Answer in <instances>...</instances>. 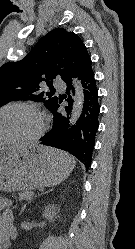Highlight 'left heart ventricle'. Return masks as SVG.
Listing matches in <instances>:
<instances>
[{
    "label": "left heart ventricle",
    "mask_w": 135,
    "mask_h": 249,
    "mask_svg": "<svg viewBox=\"0 0 135 249\" xmlns=\"http://www.w3.org/2000/svg\"><path fill=\"white\" fill-rule=\"evenodd\" d=\"M39 129V119L32 111L13 107L0 112V140L28 138Z\"/></svg>",
    "instance_id": "left-heart-ventricle-1"
}]
</instances>
